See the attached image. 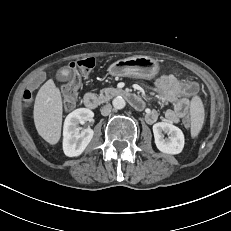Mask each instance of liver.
I'll return each mask as SVG.
<instances>
[{
    "instance_id": "obj_1",
    "label": "liver",
    "mask_w": 231,
    "mask_h": 231,
    "mask_svg": "<svg viewBox=\"0 0 231 231\" xmlns=\"http://www.w3.org/2000/svg\"><path fill=\"white\" fill-rule=\"evenodd\" d=\"M62 97L54 81L49 79L39 89L34 104V123L38 134L55 145L61 137Z\"/></svg>"
}]
</instances>
